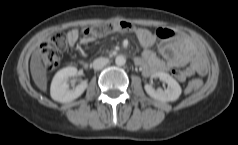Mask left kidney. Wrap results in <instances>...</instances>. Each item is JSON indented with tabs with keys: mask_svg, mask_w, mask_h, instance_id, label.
<instances>
[{
	"mask_svg": "<svg viewBox=\"0 0 238 145\" xmlns=\"http://www.w3.org/2000/svg\"><path fill=\"white\" fill-rule=\"evenodd\" d=\"M152 78H159L160 80L166 82L168 84V88L165 90H155L151 85L146 84L144 88L150 97L162 102H168L177 100L181 95L182 90L180 85L168 73L157 72L152 75Z\"/></svg>",
	"mask_w": 238,
	"mask_h": 145,
	"instance_id": "5707ae66",
	"label": "left kidney"
}]
</instances>
